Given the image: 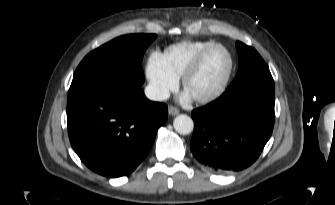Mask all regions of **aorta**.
<instances>
[{"mask_svg":"<svg viewBox=\"0 0 335 205\" xmlns=\"http://www.w3.org/2000/svg\"><path fill=\"white\" fill-rule=\"evenodd\" d=\"M173 126L176 132L182 135H187L193 131L194 122L192 118L185 114H180L175 117Z\"/></svg>","mask_w":335,"mask_h":205,"instance_id":"aorta-1","label":"aorta"}]
</instances>
